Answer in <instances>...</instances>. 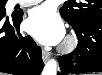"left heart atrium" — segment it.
<instances>
[{"label": "left heart atrium", "mask_w": 102, "mask_h": 75, "mask_svg": "<svg viewBox=\"0 0 102 75\" xmlns=\"http://www.w3.org/2000/svg\"><path fill=\"white\" fill-rule=\"evenodd\" d=\"M26 29L43 45L59 43L65 33L62 20L49 5L43 4L33 8L26 21Z\"/></svg>", "instance_id": "left-heart-atrium-1"}]
</instances>
